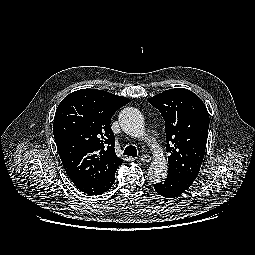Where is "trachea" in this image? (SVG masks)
I'll return each instance as SVG.
<instances>
[{
    "instance_id": "trachea-1",
    "label": "trachea",
    "mask_w": 255,
    "mask_h": 255,
    "mask_svg": "<svg viewBox=\"0 0 255 255\" xmlns=\"http://www.w3.org/2000/svg\"><path fill=\"white\" fill-rule=\"evenodd\" d=\"M124 155L137 157V149L135 146H127L124 150Z\"/></svg>"
}]
</instances>
